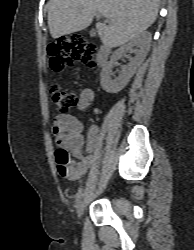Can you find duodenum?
Masks as SVG:
<instances>
[{
  "instance_id": "1",
  "label": "duodenum",
  "mask_w": 194,
  "mask_h": 250,
  "mask_svg": "<svg viewBox=\"0 0 194 250\" xmlns=\"http://www.w3.org/2000/svg\"><path fill=\"white\" fill-rule=\"evenodd\" d=\"M109 54H110V47L105 44H102L98 51L97 64L100 66L104 65L108 60Z\"/></svg>"
}]
</instances>
